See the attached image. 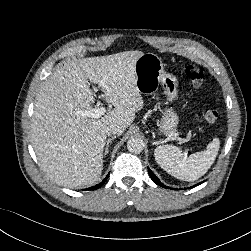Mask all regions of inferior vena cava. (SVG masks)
<instances>
[{
  "instance_id": "inferior-vena-cava-1",
  "label": "inferior vena cava",
  "mask_w": 251,
  "mask_h": 251,
  "mask_svg": "<svg viewBox=\"0 0 251 251\" xmlns=\"http://www.w3.org/2000/svg\"><path fill=\"white\" fill-rule=\"evenodd\" d=\"M106 131L108 135H121L124 132V128L118 125H110L109 127H107Z\"/></svg>"
}]
</instances>
